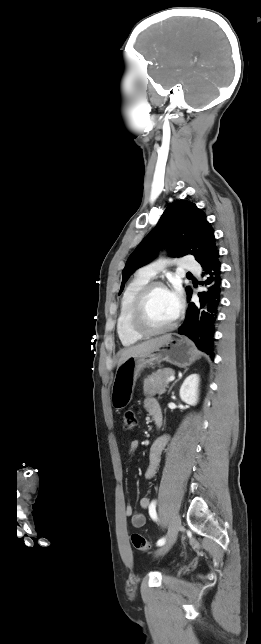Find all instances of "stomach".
<instances>
[{"mask_svg": "<svg viewBox=\"0 0 261 644\" xmlns=\"http://www.w3.org/2000/svg\"><path fill=\"white\" fill-rule=\"evenodd\" d=\"M200 356L189 339L171 337L167 343L149 353L128 358L117 368L113 380L112 407L121 410L131 402L138 375L145 367L165 361L180 368H186Z\"/></svg>", "mask_w": 261, "mask_h": 644, "instance_id": "0dacf381", "label": "stomach"}]
</instances>
